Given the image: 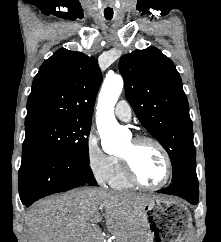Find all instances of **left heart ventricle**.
Instances as JSON below:
<instances>
[{
	"label": "left heart ventricle",
	"instance_id": "obj_1",
	"mask_svg": "<svg viewBox=\"0 0 221 242\" xmlns=\"http://www.w3.org/2000/svg\"><path fill=\"white\" fill-rule=\"evenodd\" d=\"M121 155L131 157L135 172L142 181L154 185L165 176V159L159 149L151 143L135 144L129 140L122 148Z\"/></svg>",
	"mask_w": 221,
	"mask_h": 242
}]
</instances>
